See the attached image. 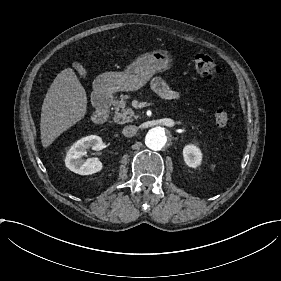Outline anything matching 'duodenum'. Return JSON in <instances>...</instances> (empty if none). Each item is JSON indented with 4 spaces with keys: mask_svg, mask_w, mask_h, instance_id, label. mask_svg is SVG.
<instances>
[{
    "mask_svg": "<svg viewBox=\"0 0 281 281\" xmlns=\"http://www.w3.org/2000/svg\"><path fill=\"white\" fill-rule=\"evenodd\" d=\"M93 102L96 107V111L93 115L94 122L97 124H104L108 120L109 110L112 103L110 93L104 90L97 91L94 94Z\"/></svg>",
    "mask_w": 281,
    "mask_h": 281,
    "instance_id": "1",
    "label": "duodenum"
}]
</instances>
